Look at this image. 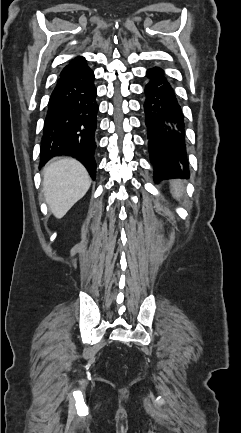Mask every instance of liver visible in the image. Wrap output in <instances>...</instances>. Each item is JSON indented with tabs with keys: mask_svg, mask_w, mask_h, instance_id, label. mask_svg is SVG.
Returning a JSON list of instances; mask_svg holds the SVG:
<instances>
[{
	"mask_svg": "<svg viewBox=\"0 0 241 433\" xmlns=\"http://www.w3.org/2000/svg\"><path fill=\"white\" fill-rule=\"evenodd\" d=\"M91 178L75 159L52 160L43 170V193L52 214L61 219L88 191Z\"/></svg>",
	"mask_w": 241,
	"mask_h": 433,
	"instance_id": "liver-1",
	"label": "liver"
}]
</instances>
